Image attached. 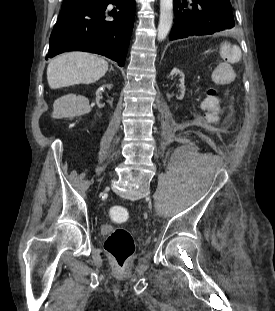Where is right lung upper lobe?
Here are the masks:
<instances>
[{
    "mask_svg": "<svg viewBox=\"0 0 275 311\" xmlns=\"http://www.w3.org/2000/svg\"><path fill=\"white\" fill-rule=\"evenodd\" d=\"M73 1H76V0H64V2H73Z\"/></svg>",
    "mask_w": 275,
    "mask_h": 311,
    "instance_id": "right-lung-upper-lobe-1",
    "label": "right lung upper lobe"
}]
</instances>
